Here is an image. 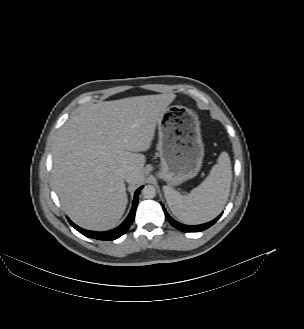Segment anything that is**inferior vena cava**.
<instances>
[{"instance_id":"602c4592","label":"inferior vena cava","mask_w":304,"mask_h":329,"mask_svg":"<svg viewBox=\"0 0 304 329\" xmlns=\"http://www.w3.org/2000/svg\"><path fill=\"white\" fill-rule=\"evenodd\" d=\"M121 176H122L126 181H128L129 178H130V176H131V174H130L127 170H124V171H122Z\"/></svg>"}]
</instances>
